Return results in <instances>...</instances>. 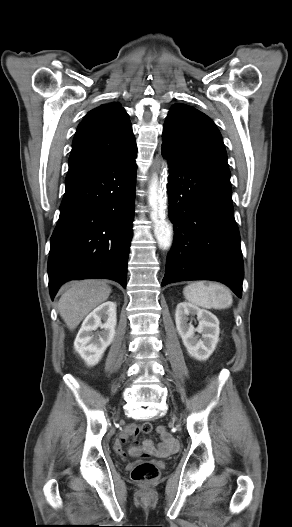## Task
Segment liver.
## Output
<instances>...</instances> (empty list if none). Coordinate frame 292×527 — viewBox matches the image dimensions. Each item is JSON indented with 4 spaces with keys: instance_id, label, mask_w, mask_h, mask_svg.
Returning a JSON list of instances; mask_svg holds the SVG:
<instances>
[{
    "instance_id": "1",
    "label": "liver",
    "mask_w": 292,
    "mask_h": 527,
    "mask_svg": "<svg viewBox=\"0 0 292 527\" xmlns=\"http://www.w3.org/2000/svg\"><path fill=\"white\" fill-rule=\"evenodd\" d=\"M63 289L58 309L70 330H74L93 309L106 301L112 291L106 282L100 280L74 281Z\"/></svg>"
}]
</instances>
